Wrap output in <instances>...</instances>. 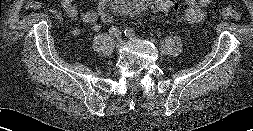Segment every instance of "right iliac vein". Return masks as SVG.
Wrapping results in <instances>:
<instances>
[{
	"mask_svg": "<svg viewBox=\"0 0 253 131\" xmlns=\"http://www.w3.org/2000/svg\"><path fill=\"white\" fill-rule=\"evenodd\" d=\"M124 45V41L122 39H119L116 44V48L119 49Z\"/></svg>",
	"mask_w": 253,
	"mask_h": 131,
	"instance_id": "1",
	"label": "right iliac vein"
}]
</instances>
